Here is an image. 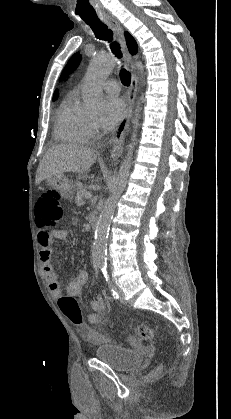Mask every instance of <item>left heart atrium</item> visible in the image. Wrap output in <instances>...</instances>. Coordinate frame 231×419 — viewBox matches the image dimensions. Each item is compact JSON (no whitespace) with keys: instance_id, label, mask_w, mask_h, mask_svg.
Wrapping results in <instances>:
<instances>
[{"instance_id":"left-heart-atrium-1","label":"left heart atrium","mask_w":231,"mask_h":419,"mask_svg":"<svg viewBox=\"0 0 231 419\" xmlns=\"http://www.w3.org/2000/svg\"><path fill=\"white\" fill-rule=\"evenodd\" d=\"M125 104L118 97H109L105 100L103 113L100 118V126L104 130L113 129L125 115Z\"/></svg>"}]
</instances>
